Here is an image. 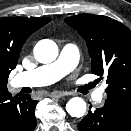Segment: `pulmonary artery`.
Listing matches in <instances>:
<instances>
[{
	"label": "pulmonary artery",
	"instance_id": "e3ab8cb5",
	"mask_svg": "<svg viewBox=\"0 0 131 131\" xmlns=\"http://www.w3.org/2000/svg\"><path fill=\"white\" fill-rule=\"evenodd\" d=\"M79 61V50L75 44L67 43L60 55L52 63L39 66L33 70L18 73L12 83L14 87H38L52 84L75 69ZM105 87L101 86L93 92L97 102L103 99Z\"/></svg>",
	"mask_w": 131,
	"mask_h": 131
}]
</instances>
